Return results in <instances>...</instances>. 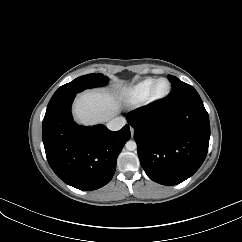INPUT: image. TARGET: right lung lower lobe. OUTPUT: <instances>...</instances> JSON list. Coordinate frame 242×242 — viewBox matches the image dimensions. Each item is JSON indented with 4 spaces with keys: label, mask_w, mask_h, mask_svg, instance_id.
<instances>
[{
    "label": "right lung lower lobe",
    "mask_w": 242,
    "mask_h": 242,
    "mask_svg": "<svg viewBox=\"0 0 242 242\" xmlns=\"http://www.w3.org/2000/svg\"><path fill=\"white\" fill-rule=\"evenodd\" d=\"M75 95L49 102L42 138L48 163L56 175L68 185L91 191L112 179L117 157L131 134L128 124L119 131H110L104 125H77L71 115Z\"/></svg>",
    "instance_id": "right-lung-lower-lobe-1"
}]
</instances>
